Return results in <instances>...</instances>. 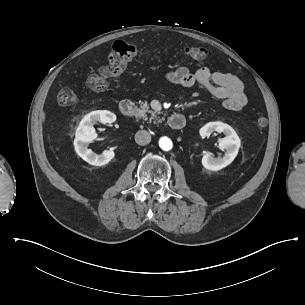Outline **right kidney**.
<instances>
[{
	"label": "right kidney",
	"mask_w": 305,
	"mask_h": 305,
	"mask_svg": "<svg viewBox=\"0 0 305 305\" xmlns=\"http://www.w3.org/2000/svg\"><path fill=\"white\" fill-rule=\"evenodd\" d=\"M116 120V115L110 111H93L87 114L80 122L76 131L74 146L77 154L86 162L95 166H102L109 163L114 158L112 150H105L102 154H96L91 149L87 148L88 143L96 138V133L93 124L99 121L103 124L113 123Z\"/></svg>",
	"instance_id": "1"
}]
</instances>
